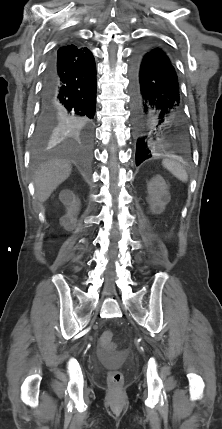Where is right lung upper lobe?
I'll return each instance as SVG.
<instances>
[{
	"label": "right lung upper lobe",
	"mask_w": 222,
	"mask_h": 429,
	"mask_svg": "<svg viewBox=\"0 0 222 429\" xmlns=\"http://www.w3.org/2000/svg\"><path fill=\"white\" fill-rule=\"evenodd\" d=\"M70 46H73V45H70ZM75 47V46H74ZM78 49V48H77ZM79 52H84V53H87L88 51L86 50V49H79Z\"/></svg>",
	"instance_id": "cb5924a9"
}]
</instances>
